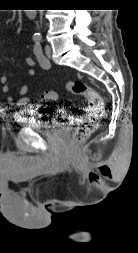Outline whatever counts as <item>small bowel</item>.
Returning a JSON list of instances; mask_svg holds the SVG:
<instances>
[{"mask_svg":"<svg viewBox=\"0 0 138 253\" xmlns=\"http://www.w3.org/2000/svg\"><path fill=\"white\" fill-rule=\"evenodd\" d=\"M26 64L30 67L29 69V76L33 77L35 75V70L33 69L35 65V60L31 57L26 59ZM0 83L2 84V90L5 93L10 91V86L8 84V78L5 74L0 75ZM29 90V85L27 83L23 84L17 95L10 96L9 102L15 106L24 107L29 104V99L26 97V94Z\"/></svg>","mask_w":138,"mask_h":253,"instance_id":"obj_1","label":"small bowel"}]
</instances>
